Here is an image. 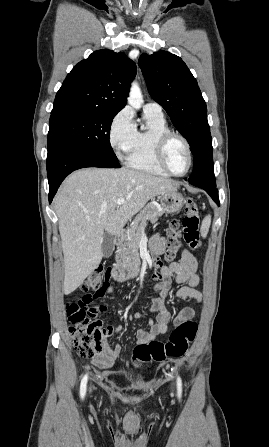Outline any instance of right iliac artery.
<instances>
[{"label": "right iliac artery", "instance_id": "1", "mask_svg": "<svg viewBox=\"0 0 269 447\" xmlns=\"http://www.w3.org/2000/svg\"><path fill=\"white\" fill-rule=\"evenodd\" d=\"M87 379H88V376L85 375L83 377L82 381H81V385H80V395H81V398H84V396H85Z\"/></svg>", "mask_w": 269, "mask_h": 447}]
</instances>
